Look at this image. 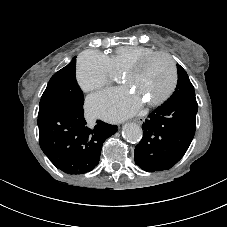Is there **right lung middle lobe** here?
Wrapping results in <instances>:
<instances>
[{"mask_svg":"<svg viewBox=\"0 0 227 227\" xmlns=\"http://www.w3.org/2000/svg\"><path fill=\"white\" fill-rule=\"evenodd\" d=\"M76 59L56 72L41 97L39 114L66 105L83 106L84 97L75 78Z\"/></svg>","mask_w":227,"mask_h":227,"instance_id":"1","label":"right lung middle lobe"}]
</instances>
